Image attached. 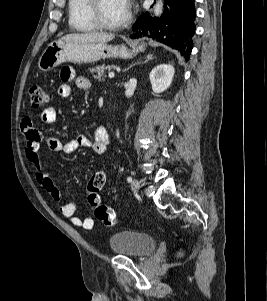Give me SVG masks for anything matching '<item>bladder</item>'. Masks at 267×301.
I'll list each match as a JSON object with an SVG mask.
<instances>
[{"label": "bladder", "instance_id": "obj_1", "mask_svg": "<svg viewBox=\"0 0 267 301\" xmlns=\"http://www.w3.org/2000/svg\"><path fill=\"white\" fill-rule=\"evenodd\" d=\"M111 252L132 257H144L157 247L156 239L148 234L135 231H120L109 238Z\"/></svg>", "mask_w": 267, "mask_h": 301}]
</instances>
